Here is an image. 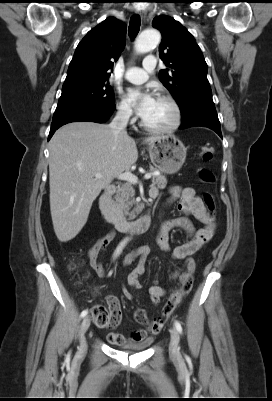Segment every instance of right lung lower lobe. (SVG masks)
Segmentation results:
<instances>
[{
	"instance_id": "98d812e1",
	"label": "right lung lower lobe",
	"mask_w": 272,
	"mask_h": 401,
	"mask_svg": "<svg viewBox=\"0 0 272 401\" xmlns=\"http://www.w3.org/2000/svg\"><path fill=\"white\" fill-rule=\"evenodd\" d=\"M113 111L107 112V113H102V112H97V111L85 110V111L73 112V113H70L67 115H63L58 118H54L52 120L51 129H50V133L48 136V141L50 140V138L52 137L54 132L64 124H67L70 122H78V121L104 123L105 121H107L109 119V117L111 116Z\"/></svg>"
}]
</instances>
